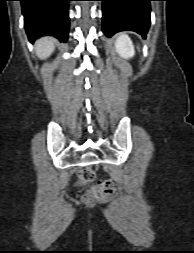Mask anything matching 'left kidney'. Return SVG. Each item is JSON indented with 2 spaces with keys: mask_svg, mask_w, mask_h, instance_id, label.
<instances>
[{
  "mask_svg": "<svg viewBox=\"0 0 194 253\" xmlns=\"http://www.w3.org/2000/svg\"><path fill=\"white\" fill-rule=\"evenodd\" d=\"M116 52L120 57L129 59L134 56V48L130 38L127 35H119L115 41Z\"/></svg>",
  "mask_w": 194,
  "mask_h": 253,
  "instance_id": "left-kidney-1",
  "label": "left kidney"
}]
</instances>
